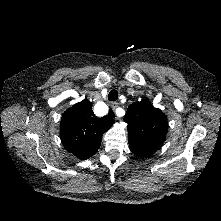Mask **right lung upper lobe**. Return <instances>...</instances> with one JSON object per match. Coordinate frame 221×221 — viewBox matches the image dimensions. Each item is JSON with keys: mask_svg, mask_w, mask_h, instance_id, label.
I'll list each match as a JSON object with an SVG mask.
<instances>
[{"mask_svg": "<svg viewBox=\"0 0 221 221\" xmlns=\"http://www.w3.org/2000/svg\"><path fill=\"white\" fill-rule=\"evenodd\" d=\"M114 120L108 116L98 118L89 101H82L67 109L60 124V137L64 147L85 160L97 152L103 134Z\"/></svg>", "mask_w": 221, "mask_h": 221, "instance_id": "right-lung-upper-lobe-1", "label": "right lung upper lobe"}]
</instances>
